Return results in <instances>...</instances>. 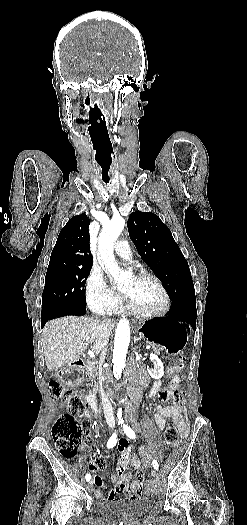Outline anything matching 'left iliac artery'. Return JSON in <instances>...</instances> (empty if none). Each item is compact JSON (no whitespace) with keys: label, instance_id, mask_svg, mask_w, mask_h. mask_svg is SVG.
Wrapping results in <instances>:
<instances>
[{"label":"left iliac artery","instance_id":"left-iliac-artery-1","mask_svg":"<svg viewBox=\"0 0 247 525\" xmlns=\"http://www.w3.org/2000/svg\"><path fill=\"white\" fill-rule=\"evenodd\" d=\"M122 427H123V430H124V433L131 439H135L136 438V435L134 433V431L130 428V426L124 424V423H121ZM153 464V467L154 469L158 470L159 468V465H158V462L156 460H153L152 462Z\"/></svg>","mask_w":247,"mask_h":525}]
</instances>
